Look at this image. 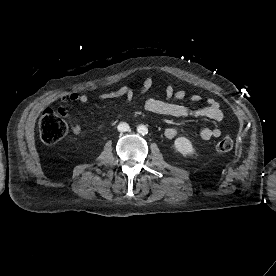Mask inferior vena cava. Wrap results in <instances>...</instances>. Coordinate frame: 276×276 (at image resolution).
Segmentation results:
<instances>
[{"mask_svg": "<svg viewBox=\"0 0 276 276\" xmlns=\"http://www.w3.org/2000/svg\"><path fill=\"white\" fill-rule=\"evenodd\" d=\"M117 128L119 132H126V131H129L130 129L129 125L125 122L119 123Z\"/></svg>", "mask_w": 276, "mask_h": 276, "instance_id": "obj_1", "label": "inferior vena cava"}]
</instances>
